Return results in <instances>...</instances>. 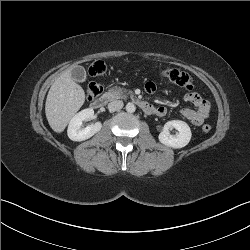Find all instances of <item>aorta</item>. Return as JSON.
<instances>
[{
    "instance_id": "762f6f07",
    "label": "aorta",
    "mask_w": 250,
    "mask_h": 250,
    "mask_svg": "<svg viewBox=\"0 0 250 250\" xmlns=\"http://www.w3.org/2000/svg\"><path fill=\"white\" fill-rule=\"evenodd\" d=\"M135 110H136V107H135V105H134L133 103H128V104L126 105V111H127L128 113H134Z\"/></svg>"
}]
</instances>
